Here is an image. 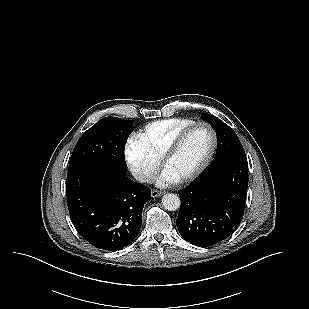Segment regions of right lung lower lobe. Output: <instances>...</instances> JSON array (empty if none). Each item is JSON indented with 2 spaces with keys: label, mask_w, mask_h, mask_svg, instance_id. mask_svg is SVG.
<instances>
[{
  "label": "right lung lower lobe",
  "mask_w": 309,
  "mask_h": 309,
  "mask_svg": "<svg viewBox=\"0 0 309 309\" xmlns=\"http://www.w3.org/2000/svg\"><path fill=\"white\" fill-rule=\"evenodd\" d=\"M66 192L71 220L93 246L121 250L133 242L142 224L151 190L124 174L84 166L67 175Z\"/></svg>",
  "instance_id": "right-lung-lower-lobe-1"
}]
</instances>
